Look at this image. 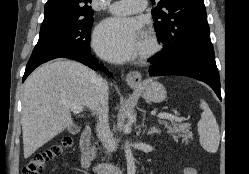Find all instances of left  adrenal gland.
I'll list each match as a JSON object with an SVG mask.
<instances>
[{"mask_svg":"<svg viewBox=\"0 0 249 174\" xmlns=\"http://www.w3.org/2000/svg\"><path fill=\"white\" fill-rule=\"evenodd\" d=\"M144 122H145V117L143 118V123H142L143 126H144ZM155 133H156V134L160 133L159 130H158L155 126L151 127V128L148 130V132H147L148 135H153V134H155Z\"/></svg>","mask_w":249,"mask_h":174,"instance_id":"obj_1","label":"left adrenal gland"}]
</instances>
